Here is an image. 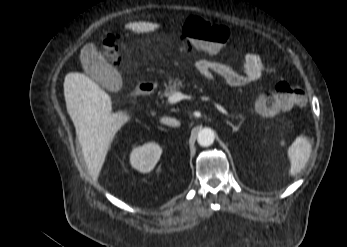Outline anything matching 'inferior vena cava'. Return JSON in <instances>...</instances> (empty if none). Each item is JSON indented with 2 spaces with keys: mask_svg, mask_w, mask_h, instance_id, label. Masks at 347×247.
<instances>
[{
  "mask_svg": "<svg viewBox=\"0 0 347 247\" xmlns=\"http://www.w3.org/2000/svg\"><path fill=\"white\" fill-rule=\"evenodd\" d=\"M161 123L170 125V126H179L180 121L174 119V118H169V117H163L161 118Z\"/></svg>",
  "mask_w": 347,
  "mask_h": 247,
  "instance_id": "602c4592",
  "label": "inferior vena cava"
}]
</instances>
